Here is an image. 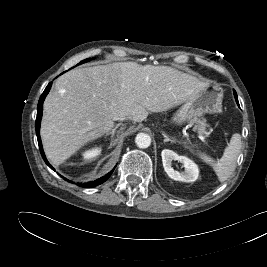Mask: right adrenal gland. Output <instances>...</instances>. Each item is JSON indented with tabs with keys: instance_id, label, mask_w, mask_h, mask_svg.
<instances>
[{
	"instance_id": "1",
	"label": "right adrenal gland",
	"mask_w": 267,
	"mask_h": 267,
	"mask_svg": "<svg viewBox=\"0 0 267 267\" xmlns=\"http://www.w3.org/2000/svg\"><path fill=\"white\" fill-rule=\"evenodd\" d=\"M121 125H123V124L118 123V124L111 130V131L107 132V133L105 134V136L111 135L110 137L113 138V136H114V134H115V131H116L117 128L120 127Z\"/></svg>"
}]
</instances>
